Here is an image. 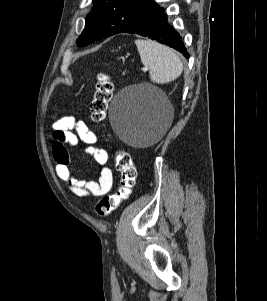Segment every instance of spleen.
Masks as SVG:
<instances>
[{
	"label": "spleen",
	"instance_id": "spleen-1",
	"mask_svg": "<svg viewBox=\"0 0 267 301\" xmlns=\"http://www.w3.org/2000/svg\"><path fill=\"white\" fill-rule=\"evenodd\" d=\"M141 62L149 69L150 79L157 84L176 80L183 71V63L171 48L155 41H135Z\"/></svg>",
	"mask_w": 267,
	"mask_h": 301
}]
</instances>
